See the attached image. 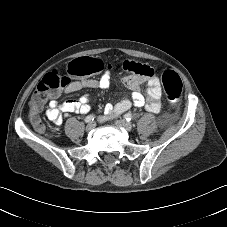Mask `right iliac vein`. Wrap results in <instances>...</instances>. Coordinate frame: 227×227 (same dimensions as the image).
<instances>
[{
    "mask_svg": "<svg viewBox=\"0 0 227 227\" xmlns=\"http://www.w3.org/2000/svg\"><path fill=\"white\" fill-rule=\"evenodd\" d=\"M95 125H96L95 122H90L89 124H87L86 130L87 131L93 130L95 128Z\"/></svg>",
    "mask_w": 227,
    "mask_h": 227,
    "instance_id": "right-iliac-vein-1",
    "label": "right iliac vein"
}]
</instances>
